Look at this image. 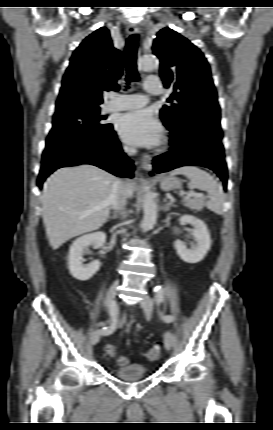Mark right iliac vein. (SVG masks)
I'll use <instances>...</instances> for the list:
<instances>
[{
	"mask_svg": "<svg viewBox=\"0 0 273 430\" xmlns=\"http://www.w3.org/2000/svg\"><path fill=\"white\" fill-rule=\"evenodd\" d=\"M118 284H119V281L118 280L115 281V283L110 287L109 291L107 292V305L109 307V310H112V309H114L115 311L118 310L117 304L116 303L113 304L114 297L116 295V288ZM100 338H101V332L95 331L90 338L91 344L92 345L97 344Z\"/></svg>",
	"mask_w": 273,
	"mask_h": 430,
	"instance_id": "63e3f726",
	"label": "right iliac vein"
}]
</instances>
